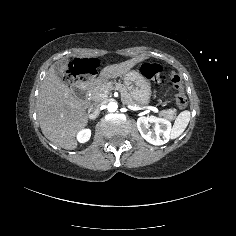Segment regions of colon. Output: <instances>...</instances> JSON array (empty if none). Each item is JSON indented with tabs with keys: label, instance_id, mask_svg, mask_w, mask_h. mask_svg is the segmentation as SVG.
Returning <instances> with one entry per match:
<instances>
[{
	"label": "colon",
	"instance_id": "5ec220e1",
	"mask_svg": "<svg viewBox=\"0 0 236 236\" xmlns=\"http://www.w3.org/2000/svg\"><path fill=\"white\" fill-rule=\"evenodd\" d=\"M89 69H93V65L89 63L79 62L71 65L64 73V80L67 83H72L77 75L87 72ZM141 73L147 79L164 83L170 82L177 90L176 104L180 109H184L187 105V97L184 92V85L180 76L176 72L164 73L163 68L158 63H144L141 65Z\"/></svg>",
	"mask_w": 236,
	"mask_h": 236
}]
</instances>
